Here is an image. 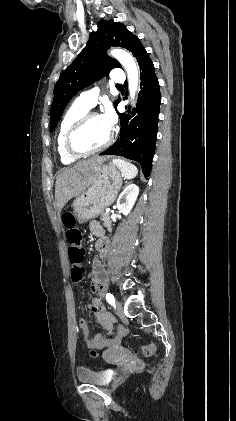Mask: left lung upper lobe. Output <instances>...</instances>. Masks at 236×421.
<instances>
[{"instance_id":"left-lung-upper-lobe-1","label":"left lung upper lobe","mask_w":236,"mask_h":421,"mask_svg":"<svg viewBox=\"0 0 236 421\" xmlns=\"http://www.w3.org/2000/svg\"><path fill=\"white\" fill-rule=\"evenodd\" d=\"M142 45L122 23L101 20L98 30L92 32L86 47L61 74L54 89L50 111V132H52L69 100L81 89L108 75L120 63L106 55L111 46H120L134 53ZM120 99L114 102L116 108Z\"/></svg>"}]
</instances>
